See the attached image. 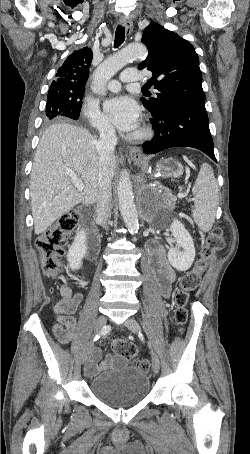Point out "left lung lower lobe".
Segmentation results:
<instances>
[{"label": "left lung lower lobe", "instance_id": "0a47b994", "mask_svg": "<svg viewBox=\"0 0 250 454\" xmlns=\"http://www.w3.org/2000/svg\"><path fill=\"white\" fill-rule=\"evenodd\" d=\"M151 124L155 135L142 146L146 154H155L171 147H193L217 162L205 103L168 106L153 115Z\"/></svg>", "mask_w": 250, "mask_h": 454}]
</instances>
